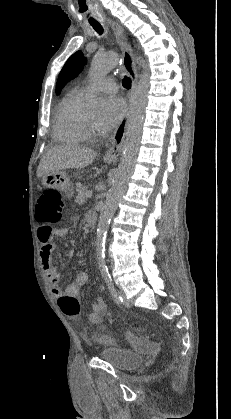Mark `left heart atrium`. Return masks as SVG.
Returning a JSON list of instances; mask_svg holds the SVG:
<instances>
[{
	"instance_id": "1",
	"label": "left heart atrium",
	"mask_w": 231,
	"mask_h": 419,
	"mask_svg": "<svg viewBox=\"0 0 231 419\" xmlns=\"http://www.w3.org/2000/svg\"><path fill=\"white\" fill-rule=\"evenodd\" d=\"M125 114V104L119 97L111 96L105 101L100 117L97 120V127L102 132L113 130Z\"/></svg>"
}]
</instances>
